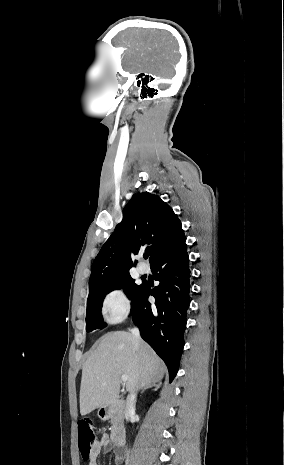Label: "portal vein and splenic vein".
<instances>
[{"label":"portal vein and splenic vein","mask_w":284,"mask_h":465,"mask_svg":"<svg viewBox=\"0 0 284 465\" xmlns=\"http://www.w3.org/2000/svg\"><path fill=\"white\" fill-rule=\"evenodd\" d=\"M121 379H122L123 383H127V381H128L127 375H121Z\"/></svg>","instance_id":"1"}]
</instances>
